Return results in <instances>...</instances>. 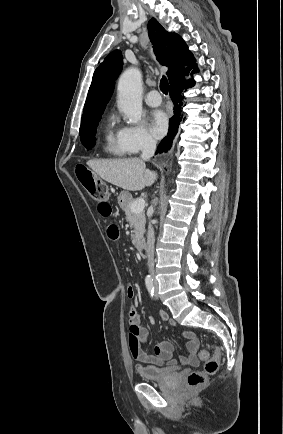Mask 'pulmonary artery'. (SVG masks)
<instances>
[{
    "instance_id": "obj_1",
    "label": "pulmonary artery",
    "mask_w": 283,
    "mask_h": 434,
    "mask_svg": "<svg viewBox=\"0 0 283 434\" xmlns=\"http://www.w3.org/2000/svg\"><path fill=\"white\" fill-rule=\"evenodd\" d=\"M161 96L156 90H152L145 96V102L151 107H157L161 104Z\"/></svg>"
}]
</instances>
